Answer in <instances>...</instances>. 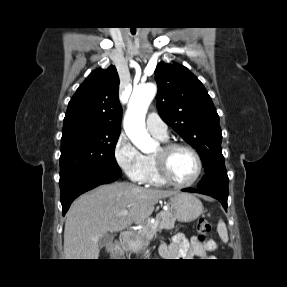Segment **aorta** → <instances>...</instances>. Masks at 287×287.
Here are the masks:
<instances>
[{"label":"aorta","instance_id":"1","mask_svg":"<svg viewBox=\"0 0 287 287\" xmlns=\"http://www.w3.org/2000/svg\"><path fill=\"white\" fill-rule=\"evenodd\" d=\"M154 84H145L133 89L124 116V130L131 142L142 152H153L158 143L146 130L145 117L150 103L156 95Z\"/></svg>","mask_w":287,"mask_h":287}]
</instances>
